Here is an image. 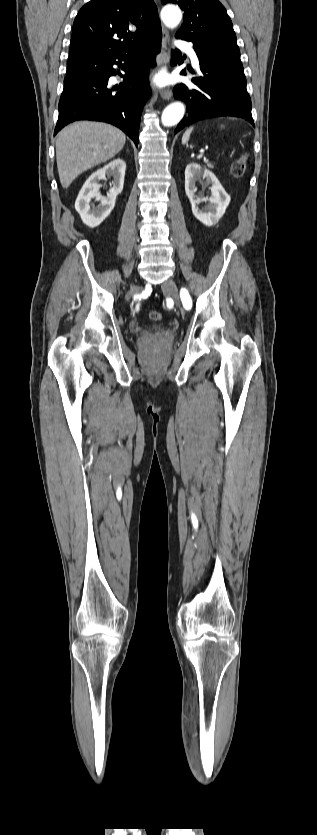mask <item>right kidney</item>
Segmentation results:
<instances>
[{"label":"right kidney","instance_id":"obj_1","mask_svg":"<svg viewBox=\"0 0 317 835\" xmlns=\"http://www.w3.org/2000/svg\"><path fill=\"white\" fill-rule=\"evenodd\" d=\"M125 170L126 163L122 159H115L92 173L85 181L75 201V209L84 224L93 228L100 225L109 216L115 206L117 195L123 190ZM106 176L113 177L112 187L107 197L102 196L99 192V181L105 179ZM93 198L100 204L96 207L92 206V209L90 202Z\"/></svg>","mask_w":317,"mask_h":835}]
</instances>
